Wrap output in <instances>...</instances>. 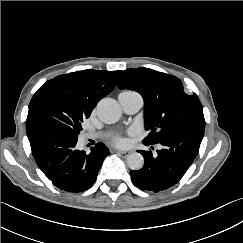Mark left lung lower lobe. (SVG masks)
<instances>
[{"label":"left lung lower lobe","mask_w":243,"mask_h":243,"mask_svg":"<svg viewBox=\"0 0 243 243\" xmlns=\"http://www.w3.org/2000/svg\"><path fill=\"white\" fill-rule=\"evenodd\" d=\"M204 130L205 122H190L164 137L159 142L163 148L157 150L156 156L140 151L145 162L140 170L130 171L133 184L159 192L178 183L199 152Z\"/></svg>","instance_id":"0a47b994"}]
</instances>
